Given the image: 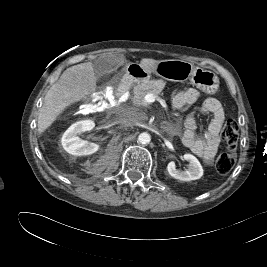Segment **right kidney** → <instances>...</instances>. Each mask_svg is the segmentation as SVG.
Masks as SVG:
<instances>
[{"label":"right kidney","mask_w":267,"mask_h":267,"mask_svg":"<svg viewBox=\"0 0 267 267\" xmlns=\"http://www.w3.org/2000/svg\"><path fill=\"white\" fill-rule=\"evenodd\" d=\"M95 127L92 120L78 121L72 124L63 134L61 143L65 151L74 156H86L97 152L99 144L88 143L79 138L83 132L90 131Z\"/></svg>","instance_id":"obj_1"}]
</instances>
